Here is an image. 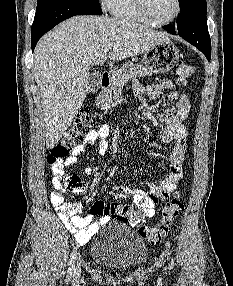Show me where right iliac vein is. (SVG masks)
Wrapping results in <instances>:
<instances>
[{
	"mask_svg": "<svg viewBox=\"0 0 233 286\" xmlns=\"http://www.w3.org/2000/svg\"><path fill=\"white\" fill-rule=\"evenodd\" d=\"M80 273H81V269L78 265V267L75 268L74 272H73V280L77 281L80 277Z\"/></svg>",
	"mask_w": 233,
	"mask_h": 286,
	"instance_id": "63e3f726",
	"label": "right iliac vein"
}]
</instances>
